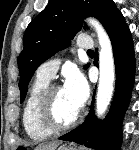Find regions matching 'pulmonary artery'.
<instances>
[{"label":"pulmonary artery","instance_id":"1","mask_svg":"<svg viewBox=\"0 0 139 150\" xmlns=\"http://www.w3.org/2000/svg\"><path fill=\"white\" fill-rule=\"evenodd\" d=\"M77 45L80 49L83 50H92L94 44L90 37L81 36L78 38ZM59 60H50L43 63L37 70V76L50 80L56 74L59 67Z\"/></svg>","mask_w":139,"mask_h":150}]
</instances>
